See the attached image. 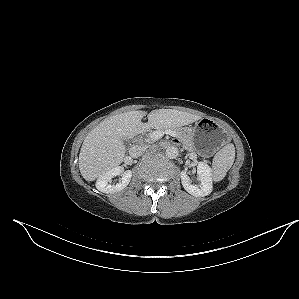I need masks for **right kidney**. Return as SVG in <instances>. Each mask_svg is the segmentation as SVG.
Returning <instances> with one entry per match:
<instances>
[{
	"label": "right kidney",
	"instance_id": "obj_1",
	"mask_svg": "<svg viewBox=\"0 0 299 299\" xmlns=\"http://www.w3.org/2000/svg\"><path fill=\"white\" fill-rule=\"evenodd\" d=\"M121 175V180L116 185L108 184L112 181V178ZM132 177V171H123L121 167L117 166L99 176L96 181V188L103 193H115L123 190L130 182Z\"/></svg>",
	"mask_w": 299,
	"mask_h": 299
}]
</instances>
